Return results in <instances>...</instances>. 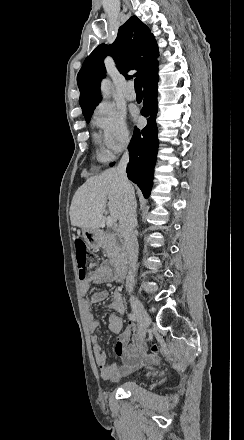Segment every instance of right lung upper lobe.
Returning a JSON list of instances; mask_svg holds the SVG:
<instances>
[{"mask_svg": "<svg viewBox=\"0 0 244 440\" xmlns=\"http://www.w3.org/2000/svg\"><path fill=\"white\" fill-rule=\"evenodd\" d=\"M110 55L123 75L137 69L134 76L144 80L157 68L159 55L156 40L149 28L136 16H132L118 30L113 44L99 45L84 61L77 75L80 90L79 103L83 112L94 110L101 101L100 82L105 75L104 58ZM130 78V76H127Z\"/></svg>", "mask_w": 244, "mask_h": 440, "instance_id": "obj_1", "label": "right lung upper lobe"}]
</instances>
